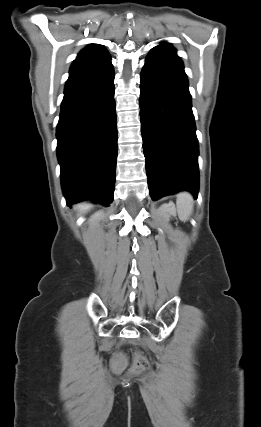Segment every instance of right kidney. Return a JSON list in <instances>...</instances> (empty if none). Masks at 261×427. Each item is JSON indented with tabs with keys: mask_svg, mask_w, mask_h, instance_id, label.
<instances>
[{
	"mask_svg": "<svg viewBox=\"0 0 261 427\" xmlns=\"http://www.w3.org/2000/svg\"><path fill=\"white\" fill-rule=\"evenodd\" d=\"M102 214H103V213H102L101 211H99V212L95 213V214L92 216L91 221L100 220V219L102 218Z\"/></svg>",
	"mask_w": 261,
	"mask_h": 427,
	"instance_id": "obj_1",
	"label": "right kidney"
}]
</instances>
